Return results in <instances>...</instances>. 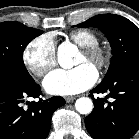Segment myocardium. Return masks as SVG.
I'll return each instance as SVG.
<instances>
[{
	"label": "myocardium",
	"instance_id": "myocardium-1",
	"mask_svg": "<svg viewBox=\"0 0 139 139\" xmlns=\"http://www.w3.org/2000/svg\"><path fill=\"white\" fill-rule=\"evenodd\" d=\"M82 53L99 71L105 69L109 63V53L107 49L99 44L82 47Z\"/></svg>",
	"mask_w": 139,
	"mask_h": 139
}]
</instances>
